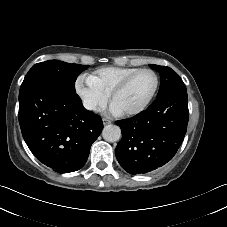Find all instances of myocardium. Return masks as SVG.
<instances>
[{
	"label": "myocardium",
	"mask_w": 227,
	"mask_h": 227,
	"mask_svg": "<svg viewBox=\"0 0 227 227\" xmlns=\"http://www.w3.org/2000/svg\"><path fill=\"white\" fill-rule=\"evenodd\" d=\"M142 73H151V74H153V76L155 78L154 87H153L150 95L148 96V98L145 100V102L142 105H140L139 107H137V108H135L133 110L123 111L122 112L126 116H134V115L140 114L144 110H146V108L151 104L153 98L155 97V95H156V93H157V91L159 89V85H160V79H159L158 74L152 69H147V68L140 69L137 72L133 73L132 75L128 76L126 79H124L111 92V100L114 102L116 96L119 95L124 90H126L128 88V86L130 85V83L133 81V79L136 78L137 76H139Z\"/></svg>",
	"instance_id": "f54148a6"
}]
</instances>
